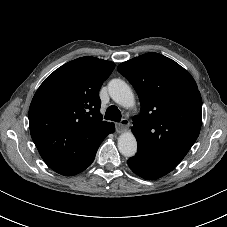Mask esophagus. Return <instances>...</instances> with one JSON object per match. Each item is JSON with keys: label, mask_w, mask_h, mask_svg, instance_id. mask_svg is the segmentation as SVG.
<instances>
[{"label": "esophagus", "mask_w": 227, "mask_h": 227, "mask_svg": "<svg viewBox=\"0 0 227 227\" xmlns=\"http://www.w3.org/2000/svg\"><path fill=\"white\" fill-rule=\"evenodd\" d=\"M129 125H130L129 120L124 118L119 123L116 124V131L118 133H122L129 127Z\"/></svg>", "instance_id": "34e87169"}]
</instances>
